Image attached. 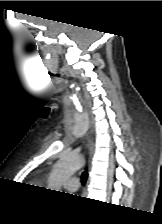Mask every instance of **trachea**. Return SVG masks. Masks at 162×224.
I'll return each instance as SVG.
<instances>
[{
  "instance_id": "1",
  "label": "trachea",
  "mask_w": 162,
  "mask_h": 224,
  "mask_svg": "<svg viewBox=\"0 0 162 224\" xmlns=\"http://www.w3.org/2000/svg\"><path fill=\"white\" fill-rule=\"evenodd\" d=\"M87 178H88V173L85 171L81 175V182H82L83 185L86 183Z\"/></svg>"
}]
</instances>
